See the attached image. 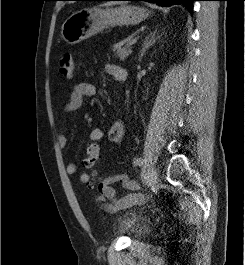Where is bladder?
<instances>
[{
	"mask_svg": "<svg viewBox=\"0 0 245 265\" xmlns=\"http://www.w3.org/2000/svg\"><path fill=\"white\" fill-rule=\"evenodd\" d=\"M150 227L149 220L140 215L123 217L118 223V231L132 237H142Z\"/></svg>",
	"mask_w": 245,
	"mask_h": 265,
	"instance_id": "obj_1",
	"label": "bladder"
}]
</instances>
